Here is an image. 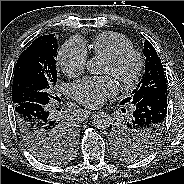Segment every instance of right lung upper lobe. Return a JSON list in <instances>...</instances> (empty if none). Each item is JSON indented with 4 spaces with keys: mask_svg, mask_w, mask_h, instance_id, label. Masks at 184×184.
Returning a JSON list of instances; mask_svg holds the SVG:
<instances>
[{
    "mask_svg": "<svg viewBox=\"0 0 184 184\" xmlns=\"http://www.w3.org/2000/svg\"><path fill=\"white\" fill-rule=\"evenodd\" d=\"M48 35H44V36H40L39 38H37L35 41L39 42V41H44L47 38Z\"/></svg>",
    "mask_w": 184,
    "mask_h": 184,
    "instance_id": "cb5924a9",
    "label": "right lung upper lobe"
}]
</instances>
